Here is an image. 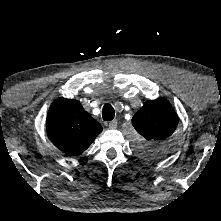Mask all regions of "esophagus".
<instances>
[{
    "label": "esophagus",
    "instance_id": "esophagus-1",
    "mask_svg": "<svg viewBox=\"0 0 221 221\" xmlns=\"http://www.w3.org/2000/svg\"><path fill=\"white\" fill-rule=\"evenodd\" d=\"M118 125V120L117 119H114L112 121L109 122V128L110 129H115Z\"/></svg>",
    "mask_w": 221,
    "mask_h": 221
}]
</instances>
